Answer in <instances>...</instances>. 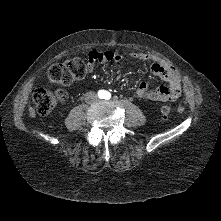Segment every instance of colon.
<instances>
[{"mask_svg":"<svg viewBox=\"0 0 221 221\" xmlns=\"http://www.w3.org/2000/svg\"><path fill=\"white\" fill-rule=\"evenodd\" d=\"M89 71V66L80 58H73L61 64H55L48 69L47 77L50 82L67 85L75 80L83 78ZM66 98L63 90H51L46 87L38 88L33 93V101L37 111L40 114L49 113L60 101ZM172 108L169 105H163L160 113L167 116Z\"/></svg>","mask_w":221,"mask_h":221,"instance_id":"colon-1","label":"colon"}]
</instances>
